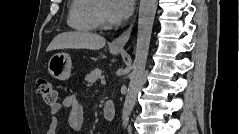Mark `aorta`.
Masks as SVG:
<instances>
[{"mask_svg":"<svg viewBox=\"0 0 239 134\" xmlns=\"http://www.w3.org/2000/svg\"><path fill=\"white\" fill-rule=\"evenodd\" d=\"M157 2V0H140L135 59L122 111L123 128H127L129 124V116L134 108L140 82L146 68Z\"/></svg>","mask_w":239,"mask_h":134,"instance_id":"1","label":"aorta"}]
</instances>
